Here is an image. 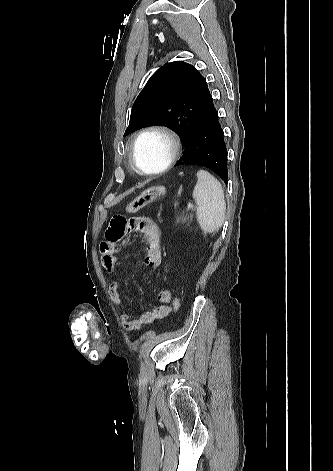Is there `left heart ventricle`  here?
<instances>
[{"instance_id":"b2bd125f","label":"left heart ventricle","mask_w":333,"mask_h":471,"mask_svg":"<svg viewBox=\"0 0 333 471\" xmlns=\"http://www.w3.org/2000/svg\"><path fill=\"white\" fill-rule=\"evenodd\" d=\"M170 153L168 140L161 134L151 133L137 143L135 158L145 170H156L164 165Z\"/></svg>"}]
</instances>
